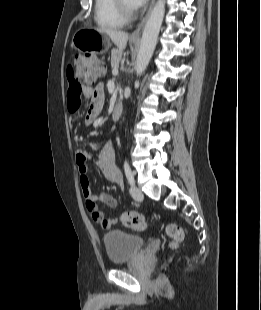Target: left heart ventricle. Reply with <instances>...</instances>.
I'll return each mask as SVG.
<instances>
[{
  "mask_svg": "<svg viewBox=\"0 0 261 310\" xmlns=\"http://www.w3.org/2000/svg\"><path fill=\"white\" fill-rule=\"evenodd\" d=\"M123 1L128 8L133 9V7L130 4V0H123Z\"/></svg>",
  "mask_w": 261,
  "mask_h": 310,
  "instance_id": "b2bd125f",
  "label": "left heart ventricle"
}]
</instances>
